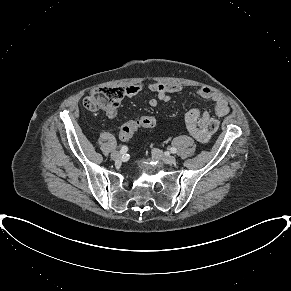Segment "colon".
I'll use <instances>...</instances> for the list:
<instances>
[{
	"instance_id": "1",
	"label": "colon",
	"mask_w": 291,
	"mask_h": 291,
	"mask_svg": "<svg viewBox=\"0 0 291 291\" xmlns=\"http://www.w3.org/2000/svg\"><path fill=\"white\" fill-rule=\"evenodd\" d=\"M125 96L122 87H103L92 90L84 99V106L89 110H103L116 108ZM156 125V119L150 115H143L124 124L120 131L123 141L129 140L140 128H151Z\"/></svg>"
}]
</instances>
